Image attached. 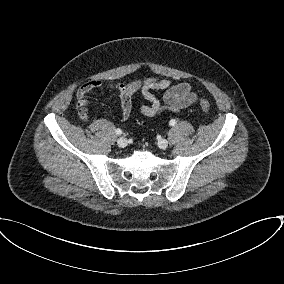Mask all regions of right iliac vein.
I'll use <instances>...</instances> for the list:
<instances>
[{
	"instance_id": "1",
	"label": "right iliac vein",
	"mask_w": 284,
	"mask_h": 284,
	"mask_svg": "<svg viewBox=\"0 0 284 284\" xmlns=\"http://www.w3.org/2000/svg\"><path fill=\"white\" fill-rule=\"evenodd\" d=\"M117 144H118L119 147L124 148V147L127 146L128 141H127V139H126L125 137H120V138L117 140Z\"/></svg>"
}]
</instances>
